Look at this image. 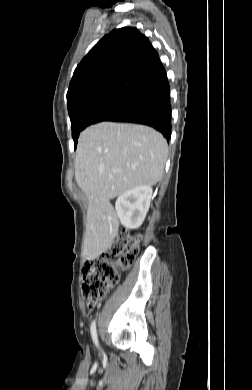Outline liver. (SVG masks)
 <instances>
[{
  "label": "liver",
  "instance_id": "obj_1",
  "mask_svg": "<svg viewBox=\"0 0 252 390\" xmlns=\"http://www.w3.org/2000/svg\"><path fill=\"white\" fill-rule=\"evenodd\" d=\"M167 154L162 134L143 125L101 122L80 134L75 179L88 199L84 260L106 252L118 233L110 200L135 187L155 185Z\"/></svg>",
  "mask_w": 252,
  "mask_h": 390
}]
</instances>
